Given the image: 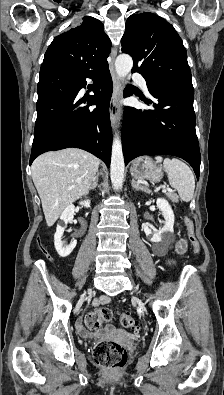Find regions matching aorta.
<instances>
[{
  "label": "aorta",
  "mask_w": 224,
  "mask_h": 395,
  "mask_svg": "<svg viewBox=\"0 0 224 395\" xmlns=\"http://www.w3.org/2000/svg\"><path fill=\"white\" fill-rule=\"evenodd\" d=\"M133 60L128 54H121L116 58L115 70L119 79L123 80L131 71ZM124 157L121 140L115 135L112 143L110 176L115 190L121 189L124 180Z\"/></svg>",
  "instance_id": "1"
}]
</instances>
